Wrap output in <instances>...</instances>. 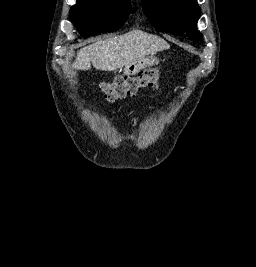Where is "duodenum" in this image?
<instances>
[{
    "label": "duodenum",
    "mask_w": 256,
    "mask_h": 267,
    "mask_svg": "<svg viewBox=\"0 0 256 267\" xmlns=\"http://www.w3.org/2000/svg\"><path fill=\"white\" fill-rule=\"evenodd\" d=\"M144 72V69H140V66H125V75L127 78H130V75H134V73Z\"/></svg>",
    "instance_id": "410a0bca"
}]
</instances>
